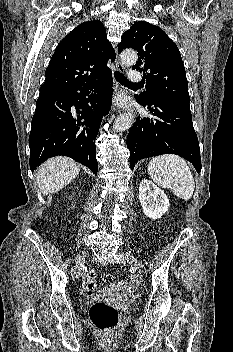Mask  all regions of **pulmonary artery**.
<instances>
[{
	"instance_id": "pulmonary-artery-1",
	"label": "pulmonary artery",
	"mask_w": 233,
	"mask_h": 352,
	"mask_svg": "<svg viewBox=\"0 0 233 352\" xmlns=\"http://www.w3.org/2000/svg\"><path fill=\"white\" fill-rule=\"evenodd\" d=\"M129 80L131 82H139L142 80V75L139 71L137 70H131L129 72Z\"/></svg>"
}]
</instances>
